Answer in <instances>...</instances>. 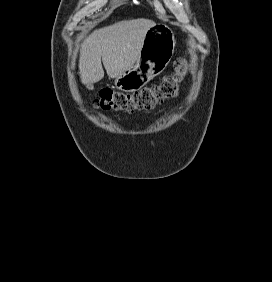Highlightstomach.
<instances>
[{"instance_id": "obj_1", "label": "stomach", "mask_w": 272, "mask_h": 282, "mask_svg": "<svg viewBox=\"0 0 272 282\" xmlns=\"http://www.w3.org/2000/svg\"><path fill=\"white\" fill-rule=\"evenodd\" d=\"M175 38L164 25L154 24L144 37L138 59L132 67L115 78V86L124 92H134L159 75L170 62Z\"/></svg>"}]
</instances>
